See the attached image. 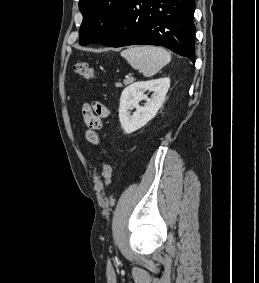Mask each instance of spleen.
<instances>
[{"label":"spleen","mask_w":259,"mask_h":283,"mask_svg":"<svg viewBox=\"0 0 259 283\" xmlns=\"http://www.w3.org/2000/svg\"><path fill=\"white\" fill-rule=\"evenodd\" d=\"M121 56L145 77L154 76L171 61L170 53L156 46H131L123 50Z\"/></svg>","instance_id":"spleen-1"}]
</instances>
